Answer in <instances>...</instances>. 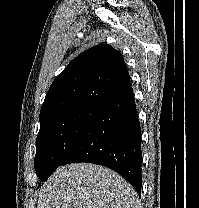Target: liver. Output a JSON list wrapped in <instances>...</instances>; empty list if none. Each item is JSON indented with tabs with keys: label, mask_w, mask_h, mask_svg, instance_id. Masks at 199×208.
I'll list each match as a JSON object with an SVG mask.
<instances>
[{
	"label": "liver",
	"mask_w": 199,
	"mask_h": 208,
	"mask_svg": "<svg viewBox=\"0 0 199 208\" xmlns=\"http://www.w3.org/2000/svg\"><path fill=\"white\" fill-rule=\"evenodd\" d=\"M37 208H139L135 189L109 168L60 166L38 192Z\"/></svg>",
	"instance_id": "6515ba94"
}]
</instances>
